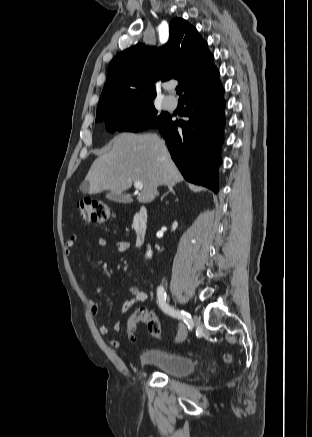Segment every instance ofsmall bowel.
<instances>
[{
  "instance_id": "1",
  "label": "small bowel",
  "mask_w": 312,
  "mask_h": 437,
  "mask_svg": "<svg viewBox=\"0 0 312 437\" xmlns=\"http://www.w3.org/2000/svg\"><path fill=\"white\" fill-rule=\"evenodd\" d=\"M78 239H79V236L77 234H73L70 236L69 240L66 242L65 253L67 256L72 255L73 249L76 246ZM97 244L101 247H106V246H108L109 242L105 238H99L97 240ZM111 247L116 252L123 253V252H126L128 250L129 243L127 241L120 240V241H116V242L112 243ZM101 291H103L102 288L97 289V292H101ZM129 291H130L132 297L130 299L122 302V304L120 306L121 313H127L136 304L142 303L147 299V293L144 290L138 288L137 286H130ZM88 303H89V308H90L91 313L93 315H97L99 313V310H100L98 303L93 299H90ZM120 329H121V322L115 323V325L113 326V330L115 332H119ZM98 331L101 335H107L109 333V327L106 324H100L98 327ZM109 343L113 348H119L121 345L120 342L116 339H111L109 341Z\"/></svg>"
}]
</instances>
